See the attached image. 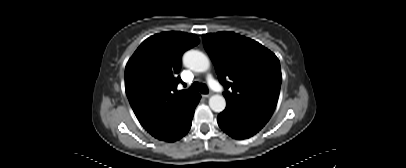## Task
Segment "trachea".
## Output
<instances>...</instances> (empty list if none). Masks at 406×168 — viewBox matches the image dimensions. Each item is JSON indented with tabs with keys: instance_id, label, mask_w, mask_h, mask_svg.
I'll return each mask as SVG.
<instances>
[{
	"instance_id": "obj_1",
	"label": "trachea",
	"mask_w": 406,
	"mask_h": 168,
	"mask_svg": "<svg viewBox=\"0 0 406 168\" xmlns=\"http://www.w3.org/2000/svg\"><path fill=\"white\" fill-rule=\"evenodd\" d=\"M189 91L194 93L201 92L203 94H207L209 92L205 84H200L198 82H194L192 86L189 88Z\"/></svg>"
}]
</instances>
